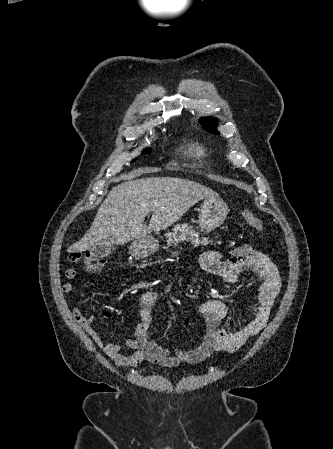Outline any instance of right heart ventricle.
Masks as SVG:
<instances>
[{"label":"right heart ventricle","mask_w":333,"mask_h":449,"mask_svg":"<svg viewBox=\"0 0 333 449\" xmlns=\"http://www.w3.org/2000/svg\"><path fill=\"white\" fill-rule=\"evenodd\" d=\"M188 150L192 155L197 157H203L205 155V150L199 145H192Z\"/></svg>","instance_id":"e07e8e85"}]
</instances>
